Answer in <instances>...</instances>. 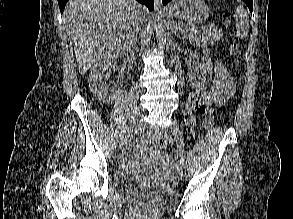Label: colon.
<instances>
[{
	"mask_svg": "<svg viewBox=\"0 0 293 219\" xmlns=\"http://www.w3.org/2000/svg\"><path fill=\"white\" fill-rule=\"evenodd\" d=\"M239 50L240 45L238 41L233 38L229 52L232 56H236L239 53ZM198 111L207 115L205 119V125L207 128H210L213 124L216 111L214 109H207L205 107H201ZM148 141L157 149L165 150L171 143L172 139L168 134L164 132H152L148 135Z\"/></svg>",
	"mask_w": 293,
	"mask_h": 219,
	"instance_id": "1",
	"label": "colon"
}]
</instances>
